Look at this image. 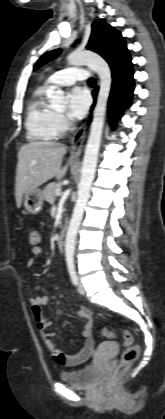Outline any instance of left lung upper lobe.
Listing matches in <instances>:
<instances>
[{"mask_svg": "<svg viewBox=\"0 0 165 419\" xmlns=\"http://www.w3.org/2000/svg\"><path fill=\"white\" fill-rule=\"evenodd\" d=\"M101 55L111 65L127 49L121 33L104 21L97 20L92 24V33L86 47ZM61 50L50 51L37 61L34 70L51 61L60 54Z\"/></svg>", "mask_w": 165, "mask_h": 419, "instance_id": "5c2ea615", "label": "left lung upper lobe"}]
</instances>
